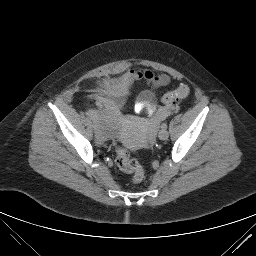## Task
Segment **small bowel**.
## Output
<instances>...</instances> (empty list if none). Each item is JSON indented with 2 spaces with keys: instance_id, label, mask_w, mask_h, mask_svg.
<instances>
[{
  "instance_id": "c3829d8e",
  "label": "small bowel",
  "mask_w": 256,
  "mask_h": 256,
  "mask_svg": "<svg viewBox=\"0 0 256 256\" xmlns=\"http://www.w3.org/2000/svg\"><path fill=\"white\" fill-rule=\"evenodd\" d=\"M137 80H145L151 87L158 88L168 84L170 78L167 75H154L150 71L130 70L118 77L102 82L93 94V99L98 105L108 108L119 116L120 110L131 92L133 83ZM174 111V107L159 108L150 123L151 128H154Z\"/></svg>"
}]
</instances>
